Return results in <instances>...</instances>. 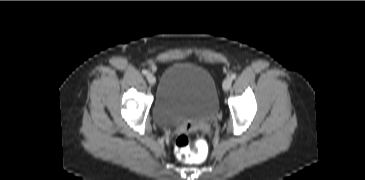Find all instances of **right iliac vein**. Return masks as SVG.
<instances>
[{
    "instance_id": "1",
    "label": "right iliac vein",
    "mask_w": 365,
    "mask_h": 180,
    "mask_svg": "<svg viewBox=\"0 0 365 180\" xmlns=\"http://www.w3.org/2000/svg\"><path fill=\"white\" fill-rule=\"evenodd\" d=\"M147 80L151 85L156 83V78L152 73L147 74Z\"/></svg>"
}]
</instances>
